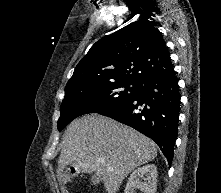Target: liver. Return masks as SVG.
Masks as SVG:
<instances>
[{"instance_id": "obj_1", "label": "liver", "mask_w": 221, "mask_h": 193, "mask_svg": "<svg viewBox=\"0 0 221 193\" xmlns=\"http://www.w3.org/2000/svg\"><path fill=\"white\" fill-rule=\"evenodd\" d=\"M156 156V144L150 138L111 118L92 114L67 127L58 168L62 172L72 165L84 173H95L106 192L116 193L129 173Z\"/></svg>"}]
</instances>
